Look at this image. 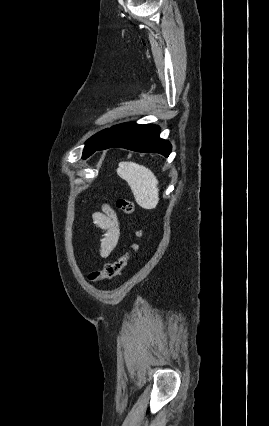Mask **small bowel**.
Here are the masks:
<instances>
[{"instance_id": "small-bowel-1", "label": "small bowel", "mask_w": 269, "mask_h": 426, "mask_svg": "<svg viewBox=\"0 0 269 426\" xmlns=\"http://www.w3.org/2000/svg\"><path fill=\"white\" fill-rule=\"evenodd\" d=\"M93 221L97 227L104 231L99 248V257L105 259L116 248L122 236L121 225L115 211L107 205L103 206L101 211L94 213Z\"/></svg>"}]
</instances>
